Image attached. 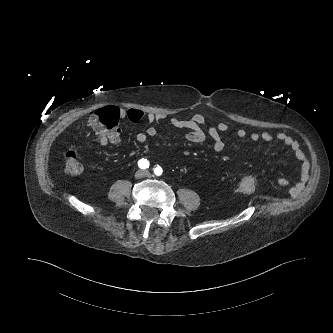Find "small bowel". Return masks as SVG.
<instances>
[{
  "label": "small bowel",
  "instance_id": "1",
  "mask_svg": "<svg viewBox=\"0 0 333 333\" xmlns=\"http://www.w3.org/2000/svg\"><path fill=\"white\" fill-rule=\"evenodd\" d=\"M121 116L134 123L140 122L142 120H146L149 123V126L144 131H141L136 135V140L138 143H145L148 138L155 137L158 133L156 126L167 122L173 128L186 130L185 140L190 143H202L208 136L212 141V150L215 153H220L224 150L225 147L223 134L230 131V126L227 123L219 122L216 124H209L207 118L202 114H194L190 118L182 119L177 117H167L163 113L144 114V112L139 109L130 108L123 111ZM202 127H205L206 131H204ZM235 135L239 139H244L249 136V139L255 143L260 141L266 143L280 141L288 148H290L298 165L302 169V177L295 185L292 186L291 192L296 193L299 191L300 187L304 183L305 175L309 169V164L300 143L296 139L281 131L276 133H271L268 131L252 132L250 135H248L247 131L243 128H238L235 131ZM121 142L122 139L119 131H117L116 134L107 133L106 135H100L96 139V144L100 148H105L107 145L119 144ZM248 176H251L256 181V176ZM280 183L287 184L288 180L281 179Z\"/></svg>",
  "mask_w": 333,
  "mask_h": 333
}]
</instances>
